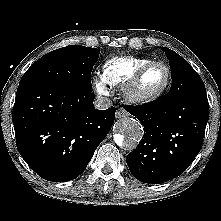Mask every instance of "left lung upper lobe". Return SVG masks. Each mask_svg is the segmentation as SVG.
<instances>
[{"mask_svg":"<svg viewBox=\"0 0 221 221\" xmlns=\"http://www.w3.org/2000/svg\"><path fill=\"white\" fill-rule=\"evenodd\" d=\"M162 49L170 61L172 70V85L164 99L175 102L187 95L206 93L201 77L191 65L173 50L167 47Z\"/></svg>","mask_w":221,"mask_h":221,"instance_id":"obj_1","label":"left lung upper lobe"}]
</instances>
